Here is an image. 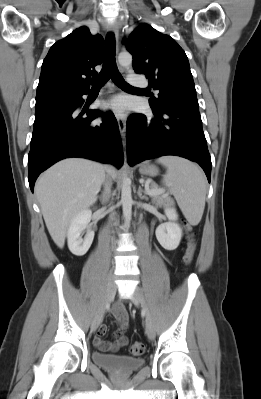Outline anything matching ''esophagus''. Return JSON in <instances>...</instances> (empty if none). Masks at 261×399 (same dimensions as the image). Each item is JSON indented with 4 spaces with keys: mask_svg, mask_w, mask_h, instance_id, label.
<instances>
[{
    "mask_svg": "<svg viewBox=\"0 0 261 399\" xmlns=\"http://www.w3.org/2000/svg\"><path fill=\"white\" fill-rule=\"evenodd\" d=\"M109 31H111L116 39V42L118 41L119 37V29L115 23L111 24L109 26ZM117 123L119 126L120 134L122 137L125 136V131H126V118L125 115H116Z\"/></svg>",
    "mask_w": 261,
    "mask_h": 399,
    "instance_id": "esophagus-1",
    "label": "esophagus"
}]
</instances>
